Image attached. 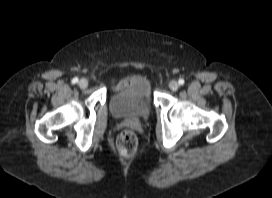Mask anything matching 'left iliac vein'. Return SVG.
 I'll return each instance as SVG.
<instances>
[{
	"instance_id": "4c4485c4",
	"label": "left iliac vein",
	"mask_w": 272,
	"mask_h": 198,
	"mask_svg": "<svg viewBox=\"0 0 272 198\" xmlns=\"http://www.w3.org/2000/svg\"><path fill=\"white\" fill-rule=\"evenodd\" d=\"M169 87L172 91H176L179 88V84L177 81L173 80L169 83Z\"/></svg>"
}]
</instances>
